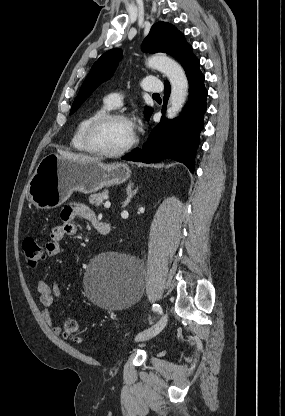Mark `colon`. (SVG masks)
Returning <instances> with one entry per match:
<instances>
[{
	"instance_id": "5ec220e1",
	"label": "colon",
	"mask_w": 285,
	"mask_h": 416,
	"mask_svg": "<svg viewBox=\"0 0 285 416\" xmlns=\"http://www.w3.org/2000/svg\"><path fill=\"white\" fill-rule=\"evenodd\" d=\"M22 253L28 265L33 268L38 266L44 256L41 245L31 237L24 239L22 243ZM64 335L75 343H80L82 341L79 324L75 319L70 318L65 321Z\"/></svg>"
}]
</instances>
